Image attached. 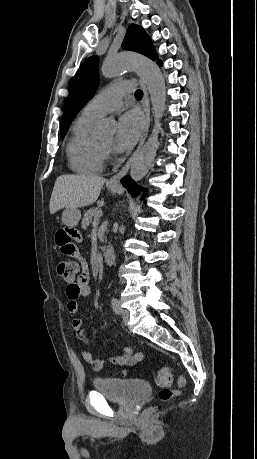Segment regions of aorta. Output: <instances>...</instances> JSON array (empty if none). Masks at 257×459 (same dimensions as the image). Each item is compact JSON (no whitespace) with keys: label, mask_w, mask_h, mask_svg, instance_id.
Returning <instances> with one entry per match:
<instances>
[{"label":"aorta","mask_w":257,"mask_h":459,"mask_svg":"<svg viewBox=\"0 0 257 459\" xmlns=\"http://www.w3.org/2000/svg\"><path fill=\"white\" fill-rule=\"evenodd\" d=\"M129 69L136 70L145 82L150 94L155 118L151 136L131 162L130 176L135 182H138L148 173L155 160L160 119L166 102V86L163 75L156 63L136 54L120 53L109 56L103 62L101 71L104 77L112 78ZM113 126V121H103L97 128L98 137H111L113 135Z\"/></svg>","instance_id":"obj_1"}]
</instances>
